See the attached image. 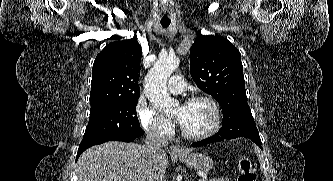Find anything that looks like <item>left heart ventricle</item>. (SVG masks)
<instances>
[{
  "mask_svg": "<svg viewBox=\"0 0 333 181\" xmlns=\"http://www.w3.org/2000/svg\"><path fill=\"white\" fill-rule=\"evenodd\" d=\"M181 112L183 113L182 128L188 133H201L212 123V111L206 102L198 101L178 106L173 114L178 116Z\"/></svg>",
  "mask_w": 333,
  "mask_h": 181,
  "instance_id": "1",
  "label": "left heart ventricle"
}]
</instances>
